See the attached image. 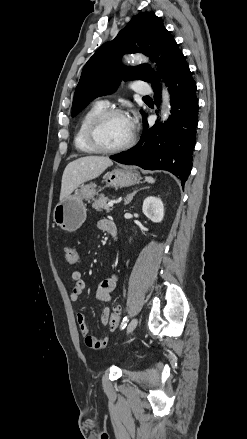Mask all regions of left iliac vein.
I'll return each mask as SVG.
<instances>
[{"label":"left iliac vein","instance_id":"4c4485c4","mask_svg":"<svg viewBox=\"0 0 247 439\" xmlns=\"http://www.w3.org/2000/svg\"><path fill=\"white\" fill-rule=\"evenodd\" d=\"M137 324H138V319H137V318H134V319L129 323V325H128V327H127V333H128V334L131 333V332L136 328Z\"/></svg>","mask_w":247,"mask_h":439}]
</instances>
